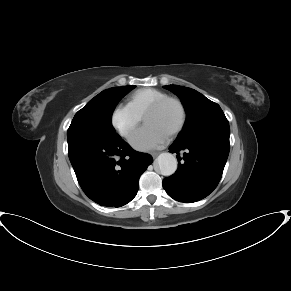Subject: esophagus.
<instances>
[{
  "label": "esophagus",
  "instance_id": "obj_1",
  "mask_svg": "<svg viewBox=\"0 0 291 291\" xmlns=\"http://www.w3.org/2000/svg\"><path fill=\"white\" fill-rule=\"evenodd\" d=\"M160 153L159 152H153L151 155L155 158L159 155Z\"/></svg>",
  "mask_w": 291,
  "mask_h": 291
}]
</instances>
